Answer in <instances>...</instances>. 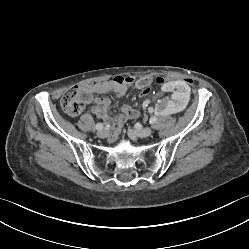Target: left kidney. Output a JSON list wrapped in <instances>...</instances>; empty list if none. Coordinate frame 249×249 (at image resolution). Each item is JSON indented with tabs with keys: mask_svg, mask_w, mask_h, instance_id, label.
Listing matches in <instances>:
<instances>
[{
	"mask_svg": "<svg viewBox=\"0 0 249 249\" xmlns=\"http://www.w3.org/2000/svg\"><path fill=\"white\" fill-rule=\"evenodd\" d=\"M189 89V84L185 80H168L162 86V91L166 95L152 106V111L165 118H170L174 113H181L191 104L193 96Z\"/></svg>",
	"mask_w": 249,
	"mask_h": 249,
	"instance_id": "left-kidney-1",
	"label": "left kidney"
}]
</instances>
